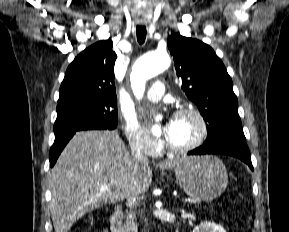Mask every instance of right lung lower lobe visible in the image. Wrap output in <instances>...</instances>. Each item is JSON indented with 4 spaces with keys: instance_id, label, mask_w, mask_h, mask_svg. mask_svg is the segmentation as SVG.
Instances as JSON below:
<instances>
[{
    "instance_id": "obj_1",
    "label": "right lung lower lobe",
    "mask_w": 289,
    "mask_h": 232,
    "mask_svg": "<svg viewBox=\"0 0 289 232\" xmlns=\"http://www.w3.org/2000/svg\"><path fill=\"white\" fill-rule=\"evenodd\" d=\"M77 131L55 136V141L49 152L50 166L53 167L61 151Z\"/></svg>"
}]
</instances>
